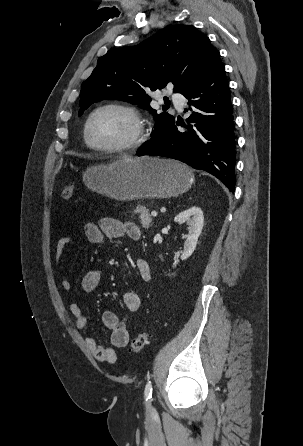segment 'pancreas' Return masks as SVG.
<instances>
[{
	"label": "pancreas",
	"instance_id": "cf45deb5",
	"mask_svg": "<svg viewBox=\"0 0 303 446\" xmlns=\"http://www.w3.org/2000/svg\"><path fill=\"white\" fill-rule=\"evenodd\" d=\"M136 213L139 214L142 226L144 228H148L152 222V217L149 214V210L143 205H138L136 208Z\"/></svg>",
	"mask_w": 303,
	"mask_h": 446
}]
</instances>
